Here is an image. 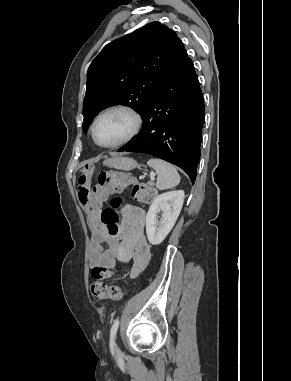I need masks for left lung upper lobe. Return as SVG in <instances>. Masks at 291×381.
I'll use <instances>...</instances> for the list:
<instances>
[{
	"label": "left lung upper lobe",
	"mask_w": 291,
	"mask_h": 381,
	"mask_svg": "<svg viewBox=\"0 0 291 381\" xmlns=\"http://www.w3.org/2000/svg\"><path fill=\"white\" fill-rule=\"evenodd\" d=\"M187 53L176 33L152 22L107 44L87 71L83 131L114 104L142 114L149 98L173 74Z\"/></svg>",
	"instance_id": "left-lung-upper-lobe-1"
}]
</instances>
